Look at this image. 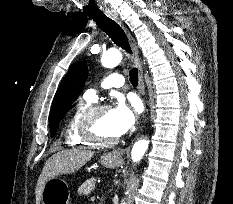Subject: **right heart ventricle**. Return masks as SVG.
I'll use <instances>...</instances> for the list:
<instances>
[{"label": "right heart ventricle", "mask_w": 233, "mask_h": 204, "mask_svg": "<svg viewBox=\"0 0 233 204\" xmlns=\"http://www.w3.org/2000/svg\"><path fill=\"white\" fill-rule=\"evenodd\" d=\"M92 105L93 101L87 98H83L78 101V103L69 114L64 129V136L67 145L71 147L93 145L85 140L80 133V124L82 117L86 110Z\"/></svg>", "instance_id": "right-heart-ventricle-1"}]
</instances>
